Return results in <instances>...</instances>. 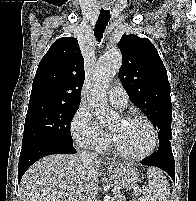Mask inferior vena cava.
Wrapping results in <instances>:
<instances>
[{
    "instance_id": "obj_1",
    "label": "inferior vena cava",
    "mask_w": 196,
    "mask_h": 201,
    "mask_svg": "<svg viewBox=\"0 0 196 201\" xmlns=\"http://www.w3.org/2000/svg\"><path fill=\"white\" fill-rule=\"evenodd\" d=\"M79 158L85 162L93 161V156L91 155L89 151H86V150H82V152L79 154Z\"/></svg>"
}]
</instances>
